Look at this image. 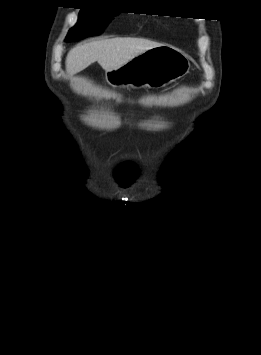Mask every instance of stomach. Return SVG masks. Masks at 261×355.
<instances>
[{"mask_svg": "<svg viewBox=\"0 0 261 355\" xmlns=\"http://www.w3.org/2000/svg\"><path fill=\"white\" fill-rule=\"evenodd\" d=\"M190 68L184 53L172 46L161 45L116 69L105 71V80L114 87L159 88L184 77Z\"/></svg>", "mask_w": 261, "mask_h": 355, "instance_id": "stomach-1", "label": "stomach"}]
</instances>
